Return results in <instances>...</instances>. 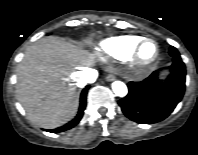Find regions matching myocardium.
<instances>
[{
  "label": "myocardium",
  "instance_id": "myocardium-1",
  "mask_svg": "<svg viewBox=\"0 0 198 155\" xmlns=\"http://www.w3.org/2000/svg\"><path fill=\"white\" fill-rule=\"evenodd\" d=\"M145 44H153L154 45V53H153V55L150 58H147V59L141 58L142 49H143V46ZM136 56H137V64L139 66L149 67V66H152L157 61V59L159 57V49H158V47H157L155 42H153L152 40H148V41L142 42L138 46L137 52H136Z\"/></svg>",
  "mask_w": 198,
  "mask_h": 155
}]
</instances>
